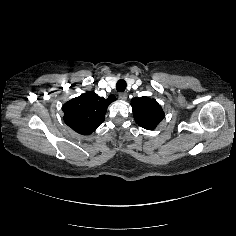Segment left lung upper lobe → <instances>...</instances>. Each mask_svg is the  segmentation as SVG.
Masks as SVG:
<instances>
[{
	"mask_svg": "<svg viewBox=\"0 0 236 236\" xmlns=\"http://www.w3.org/2000/svg\"><path fill=\"white\" fill-rule=\"evenodd\" d=\"M135 122L147 129L153 130L164 118L162 107L155 99L148 97L134 98L131 100Z\"/></svg>",
	"mask_w": 236,
	"mask_h": 236,
	"instance_id": "5c2ea615",
	"label": "left lung upper lobe"
}]
</instances>
